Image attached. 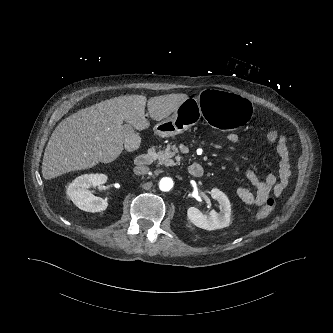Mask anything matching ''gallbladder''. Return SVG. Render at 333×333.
<instances>
[{
    "label": "gallbladder",
    "mask_w": 333,
    "mask_h": 333,
    "mask_svg": "<svg viewBox=\"0 0 333 333\" xmlns=\"http://www.w3.org/2000/svg\"><path fill=\"white\" fill-rule=\"evenodd\" d=\"M122 132L125 138V145L128 150L137 149L140 145V137L135 133L131 125L122 126Z\"/></svg>",
    "instance_id": "1"
}]
</instances>
